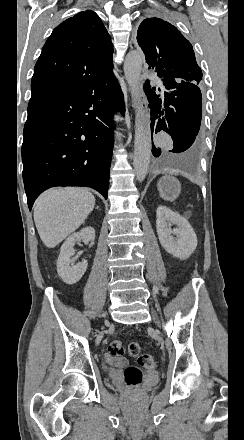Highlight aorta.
<instances>
[{"mask_svg":"<svg viewBox=\"0 0 244 440\" xmlns=\"http://www.w3.org/2000/svg\"><path fill=\"white\" fill-rule=\"evenodd\" d=\"M144 62V54L141 51H131L127 54L124 62V74L127 83L137 96L141 82V69ZM151 155L150 138L145 130L141 118L136 119L134 136V160L133 166L138 181H143L148 173Z\"/></svg>","mask_w":244,"mask_h":440,"instance_id":"obj_1","label":"aorta"}]
</instances>
